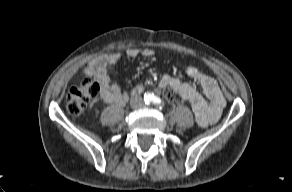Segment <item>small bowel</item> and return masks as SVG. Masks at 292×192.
<instances>
[{
  "instance_id": "1",
  "label": "small bowel",
  "mask_w": 292,
  "mask_h": 192,
  "mask_svg": "<svg viewBox=\"0 0 292 192\" xmlns=\"http://www.w3.org/2000/svg\"><path fill=\"white\" fill-rule=\"evenodd\" d=\"M126 54L131 58L139 55L151 57L154 51L150 48H129ZM119 58V53H113L108 57L90 64L85 71L87 77H92L100 81V97L103 102L108 104L123 105L128 100V94L118 85L112 83L109 75V71L116 65ZM184 73L188 78L200 85L207 101L198 95L190 83L183 82L175 77L164 76L160 81V87L165 92H175L183 100L188 101L200 126L207 127L214 124L219 119L226 104L218 83L214 78L193 65L185 66Z\"/></svg>"
}]
</instances>
